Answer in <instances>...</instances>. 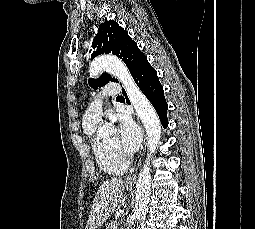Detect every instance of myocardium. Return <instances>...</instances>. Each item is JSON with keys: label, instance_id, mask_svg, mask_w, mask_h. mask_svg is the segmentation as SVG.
<instances>
[{"label": "myocardium", "instance_id": "obj_1", "mask_svg": "<svg viewBox=\"0 0 255 229\" xmlns=\"http://www.w3.org/2000/svg\"><path fill=\"white\" fill-rule=\"evenodd\" d=\"M112 152H114L116 155H118L119 157H121L124 161L127 162V159L125 158V156L122 154L120 149H113L110 148L109 146H107Z\"/></svg>", "mask_w": 255, "mask_h": 229}]
</instances>
